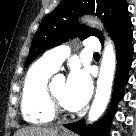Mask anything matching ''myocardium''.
<instances>
[{"label": "myocardium", "mask_w": 136, "mask_h": 136, "mask_svg": "<svg viewBox=\"0 0 136 136\" xmlns=\"http://www.w3.org/2000/svg\"><path fill=\"white\" fill-rule=\"evenodd\" d=\"M47 97H48L49 105L54 114L67 113L66 107H64L63 104L54 95L51 85H47Z\"/></svg>", "instance_id": "myocardium-1"}]
</instances>
